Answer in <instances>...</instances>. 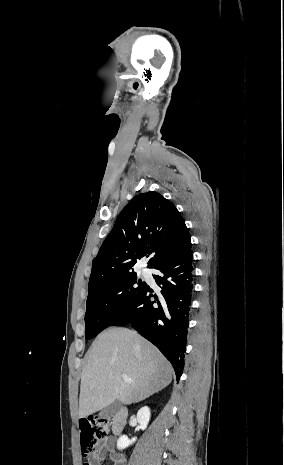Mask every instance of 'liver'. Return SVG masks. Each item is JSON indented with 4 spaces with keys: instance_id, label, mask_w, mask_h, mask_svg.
<instances>
[{
    "instance_id": "6515ba94",
    "label": "liver",
    "mask_w": 284,
    "mask_h": 465,
    "mask_svg": "<svg viewBox=\"0 0 284 465\" xmlns=\"http://www.w3.org/2000/svg\"><path fill=\"white\" fill-rule=\"evenodd\" d=\"M172 373L162 353L135 331L106 329L92 343L82 371L78 417L93 415L116 399L123 405L144 401L170 385Z\"/></svg>"
}]
</instances>
